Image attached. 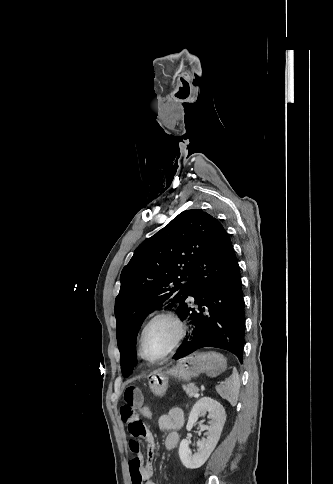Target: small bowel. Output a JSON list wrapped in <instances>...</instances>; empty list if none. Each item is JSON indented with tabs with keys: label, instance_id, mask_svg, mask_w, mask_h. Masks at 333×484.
<instances>
[{
	"label": "small bowel",
	"instance_id": "obj_1",
	"mask_svg": "<svg viewBox=\"0 0 333 484\" xmlns=\"http://www.w3.org/2000/svg\"><path fill=\"white\" fill-rule=\"evenodd\" d=\"M123 405L120 408V417L128 425L132 439L129 449L134 457L129 462L132 484H156L152 477L153 461L156 455L157 444L154 435L140 418V409L143 407V394L136 386H129L123 394ZM184 424V413L181 408H172L158 420L160 430L166 431L164 445L167 450H173L179 443L178 430ZM142 438L147 443L146 460L140 449L137 439Z\"/></svg>",
	"mask_w": 333,
	"mask_h": 484
}]
</instances>
